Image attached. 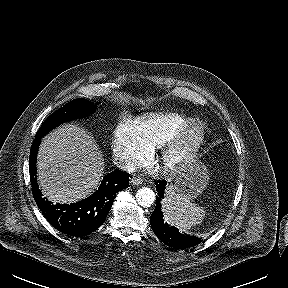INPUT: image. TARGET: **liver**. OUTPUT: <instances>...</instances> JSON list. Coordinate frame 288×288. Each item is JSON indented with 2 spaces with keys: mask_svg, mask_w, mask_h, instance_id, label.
<instances>
[{
  "mask_svg": "<svg viewBox=\"0 0 288 288\" xmlns=\"http://www.w3.org/2000/svg\"><path fill=\"white\" fill-rule=\"evenodd\" d=\"M38 183L53 203H73L90 195L104 173L102 152L84 129L65 124L42 141L37 161Z\"/></svg>",
  "mask_w": 288,
  "mask_h": 288,
  "instance_id": "1",
  "label": "liver"
}]
</instances>
